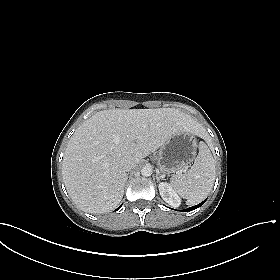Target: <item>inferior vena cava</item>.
<instances>
[{
  "label": "inferior vena cava",
  "instance_id": "1",
  "mask_svg": "<svg viewBox=\"0 0 280 280\" xmlns=\"http://www.w3.org/2000/svg\"><path fill=\"white\" fill-rule=\"evenodd\" d=\"M136 166V161L133 157L128 156L123 160V167L126 171H130Z\"/></svg>",
  "mask_w": 280,
  "mask_h": 280
}]
</instances>
